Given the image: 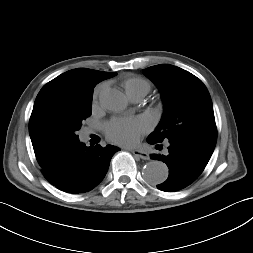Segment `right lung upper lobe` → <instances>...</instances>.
Listing matches in <instances>:
<instances>
[{
	"label": "right lung upper lobe",
	"mask_w": 253,
	"mask_h": 253,
	"mask_svg": "<svg viewBox=\"0 0 253 253\" xmlns=\"http://www.w3.org/2000/svg\"><path fill=\"white\" fill-rule=\"evenodd\" d=\"M115 75L116 73L77 68L59 75L43 86L36 97L29 121V134L36 159L42 170L47 169L57 156L66 149L65 147L46 140L34 130L33 116L43 101L48 97L59 93H93V88L97 83Z\"/></svg>",
	"instance_id": "cb5924a9"
}]
</instances>
